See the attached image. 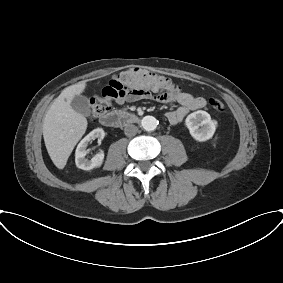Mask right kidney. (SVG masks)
Masks as SVG:
<instances>
[{
  "label": "right kidney",
  "instance_id": "ca27d5eb",
  "mask_svg": "<svg viewBox=\"0 0 283 283\" xmlns=\"http://www.w3.org/2000/svg\"><path fill=\"white\" fill-rule=\"evenodd\" d=\"M105 136L104 130L101 128L94 129L91 131L87 136H85L80 143L78 144L75 152V163L76 166L83 170H91L97 167H100L104 160V153L100 152L92 157L90 160L86 159L85 156L87 155V146L89 141L95 140H102Z\"/></svg>",
  "mask_w": 283,
  "mask_h": 283
}]
</instances>
